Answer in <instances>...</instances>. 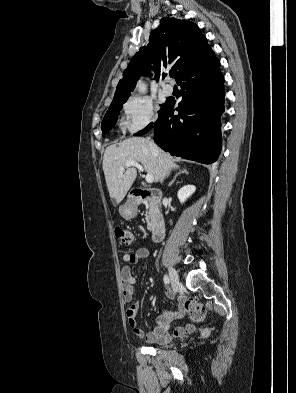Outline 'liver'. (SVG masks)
I'll return each mask as SVG.
<instances>
[{
    "mask_svg": "<svg viewBox=\"0 0 296 393\" xmlns=\"http://www.w3.org/2000/svg\"><path fill=\"white\" fill-rule=\"evenodd\" d=\"M150 143L151 141L146 138L132 137L106 148L103 156V171L110 197L117 204L124 199L137 176L134 166L127 167L126 171L122 170L126 162H140L145 171L154 176L156 182L162 181L172 169L179 167L171 155L157 148L163 161V166L159 165Z\"/></svg>",
    "mask_w": 296,
    "mask_h": 393,
    "instance_id": "6515ba94",
    "label": "liver"
}]
</instances>
